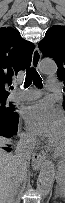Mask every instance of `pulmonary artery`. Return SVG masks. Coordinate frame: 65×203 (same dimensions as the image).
<instances>
[{
    "instance_id": "pulmonary-artery-1",
    "label": "pulmonary artery",
    "mask_w": 65,
    "mask_h": 203,
    "mask_svg": "<svg viewBox=\"0 0 65 203\" xmlns=\"http://www.w3.org/2000/svg\"><path fill=\"white\" fill-rule=\"evenodd\" d=\"M46 89L50 92H58L60 90V85L57 80L48 79ZM40 96L41 92L39 90L27 89L13 93L12 95H10V100L12 102L31 101L39 98Z\"/></svg>"
}]
</instances>
